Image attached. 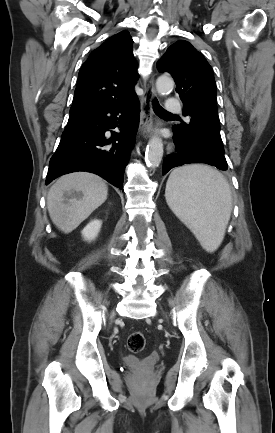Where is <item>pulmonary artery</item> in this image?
<instances>
[{
  "label": "pulmonary artery",
  "instance_id": "1",
  "mask_svg": "<svg viewBox=\"0 0 275 433\" xmlns=\"http://www.w3.org/2000/svg\"><path fill=\"white\" fill-rule=\"evenodd\" d=\"M165 111L171 114L179 113L181 111L179 101L173 97H168L165 104Z\"/></svg>",
  "mask_w": 275,
  "mask_h": 433
}]
</instances>
